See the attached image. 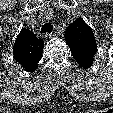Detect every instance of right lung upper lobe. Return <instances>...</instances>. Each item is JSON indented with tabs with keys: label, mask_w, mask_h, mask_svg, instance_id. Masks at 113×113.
I'll list each match as a JSON object with an SVG mask.
<instances>
[{
	"label": "right lung upper lobe",
	"mask_w": 113,
	"mask_h": 113,
	"mask_svg": "<svg viewBox=\"0 0 113 113\" xmlns=\"http://www.w3.org/2000/svg\"><path fill=\"white\" fill-rule=\"evenodd\" d=\"M43 46L44 43L32 31L23 28L14 43V59L26 71L33 72L42 57Z\"/></svg>",
	"instance_id": "obj_1"
}]
</instances>
